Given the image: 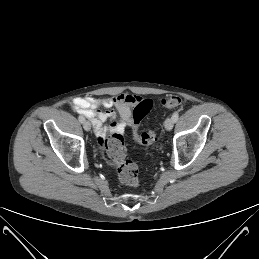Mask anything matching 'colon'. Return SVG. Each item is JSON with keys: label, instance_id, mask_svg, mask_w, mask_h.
I'll return each instance as SVG.
<instances>
[{"label": "colon", "instance_id": "obj_1", "mask_svg": "<svg viewBox=\"0 0 259 259\" xmlns=\"http://www.w3.org/2000/svg\"><path fill=\"white\" fill-rule=\"evenodd\" d=\"M161 105L168 109H173L183 103V98L178 95H169L161 100ZM153 102L150 99H142L133 109V137L143 146L151 145L155 140V133L148 129L139 132L142 120L147 116L152 108ZM105 151L109 162L116 168L119 181L127 186L137 187L139 185L138 166L126 157V148L123 135L113 132L105 140Z\"/></svg>", "mask_w": 259, "mask_h": 259}]
</instances>
